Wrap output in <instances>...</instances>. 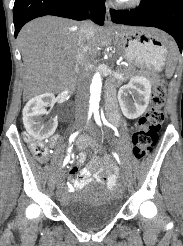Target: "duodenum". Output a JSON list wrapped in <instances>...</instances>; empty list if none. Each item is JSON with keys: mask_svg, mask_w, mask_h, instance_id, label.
Here are the masks:
<instances>
[{"mask_svg": "<svg viewBox=\"0 0 183 246\" xmlns=\"http://www.w3.org/2000/svg\"><path fill=\"white\" fill-rule=\"evenodd\" d=\"M109 95H112V90L109 89ZM96 141H94V139L92 138V136H84V138L79 139V144L81 148H86L87 144L89 148H94L95 151L99 150V145L98 143H94Z\"/></svg>", "mask_w": 183, "mask_h": 246, "instance_id": "obj_1", "label": "duodenum"}]
</instances>
